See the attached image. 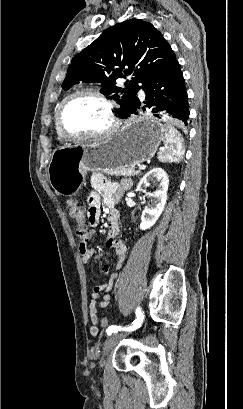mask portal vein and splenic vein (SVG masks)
Instances as JSON below:
<instances>
[{
  "label": "portal vein and splenic vein",
  "mask_w": 243,
  "mask_h": 409,
  "mask_svg": "<svg viewBox=\"0 0 243 409\" xmlns=\"http://www.w3.org/2000/svg\"><path fill=\"white\" fill-rule=\"evenodd\" d=\"M146 168V165H139V169L143 170Z\"/></svg>",
  "instance_id": "obj_1"
}]
</instances>
